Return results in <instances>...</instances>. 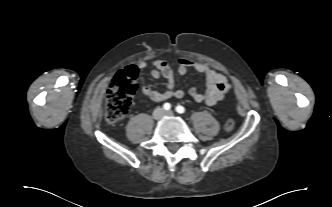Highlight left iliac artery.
I'll return each instance as SVG.
<instances>
[{"label":"left iliac artery","mask_w":332,"mask_h":207,"mask_svg":"<svg viewBox=\"0 0 332 207\" xmlns=\"http://www.w3.org/2000/svg\"><path fill=\"white\" fill-rule=\"evenodd\" d=\"M175 110L179 114L185 113V108L183 106H181V105L176 106Z\"/></svg>","instance_id":"44dca946"}]
</instances>
